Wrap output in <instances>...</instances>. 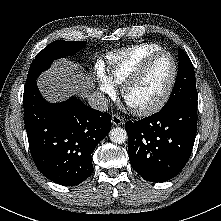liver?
Wrapping results in <instances>:
<instances>
[{
    "label": "liver",
    "instance_id": "6515ba94",
    "mask_svg": "<svg viewBox=\"0 0 221 221\" xmlns=\"http://www.w3.org/2000/svg\"><path fill=\"white\" fill-rule=\"evenodd\" d=\"M37 84L43 96L51 102L63 101L73 94L87 97L94 87L92 77L82 73L67 59L55 61L49 70L40 75Z\"/></svg>",
    "mask_w": 221,
    "mask_h": 221
}]
</instances>
